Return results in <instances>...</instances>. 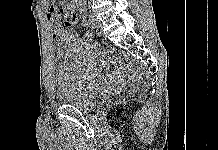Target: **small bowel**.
<instances>
[{"instance_id":"obj_1","label":"small bowel","mask_w":218,"mask_h":150,"mask_svg":"<svg viewBox=\"0 0 218 150\" xmlns=\"http://www.w3.org/2000/svg\"><path fill=\"white\" fill-rule=\"evenodd\" d=\"M63 4L71 8V11L76 15L82 11L80 0H63ZM65 10L59 6H50L47 10L46 19L49 30L53 39H65L66 31L60 26V16Z\"/></svg>"}]
</instances>
